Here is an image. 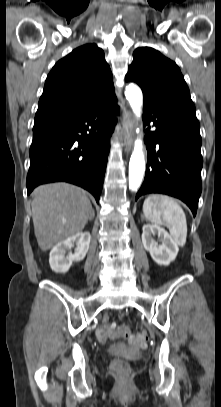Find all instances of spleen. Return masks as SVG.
Here are the masks:
<instances>
[{
    "instance_id": "obj_1",
    "label": "spleen",
    "mask_w": 221,
    "mask_h": 407,
    "mask_svg": "<svg viewBox=\"0 0 221 407\" xmlns=\"http://www.w3.org/2000/svg\"><path fill=\"white\" fill-rule=\"evenodd\" d=\"M143 213L150 222L167 226L178 245H185L186 216L181 206L173 198L162 194L149 195L143 203Z\"/></svg>"
}]
</instances>
